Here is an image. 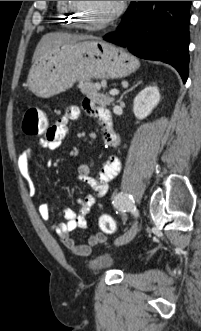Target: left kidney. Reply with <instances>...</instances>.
<instances>
[{
  "label": "left kidney",
  "instance_id": "1",
  "mask_svg": "<svg viewBox=\"0 0 201 331\" xmlns=\"http://www.w3.org/2000/svg\"><path fill=\"white\" fill-rule=\"evenodd\" d=\"M160 101V93L157 86H149L143 89L134 99L133 112L137 119L143 120L149 116Z\"/></svg>",
  "mask_w": 201,
  "mask_h": 331
}]
</instances>
